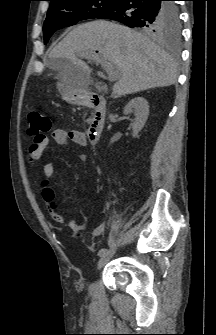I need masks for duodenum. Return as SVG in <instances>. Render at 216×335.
<instances>
[{"label": "duodenum", "mask_w": 216, "mask_h": 335, "mask_svg": "<svg viewBox=\"0 0 216 335\" xmlns=\"http://www.w3.org/2000/svg\"><path fill=\"white\" fill-rule=\"evenodd\" d=\"M87 105L93 109V115L88 127V137L93 143H96L104 128L106 104L102 96L92 94L88 98Z\"/></svg>", "instance_id": "duodenum-1"}]
</instances>
